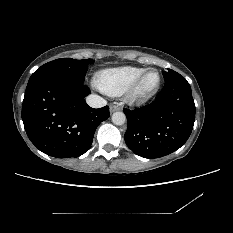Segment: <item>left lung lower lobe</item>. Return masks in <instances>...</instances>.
<instances>
[{"mask_svg": "<svg viewBox=\"0 0 233 233\" xmlns=\"http://www.w3.org/2000/svg\"><path fill=\"white\" fill-rule=\"evenodd\" d=\"M127 146L138 156L157 158L179 149L189 138L195 121L190 84L181 75L167 81L152 103L124 109Z\"/></svg>", "mask_w": 233, "mask_h": 233, "instance_id": "1", "label": "left lung lower lobe"}]
</instances>
